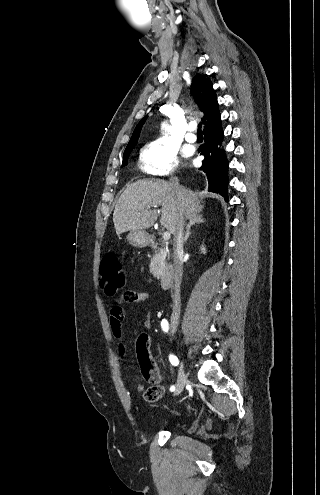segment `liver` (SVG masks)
<instances>
[{
  "label": "liver",
  "instance_id": "liver-1",
  "mask_svg": "<svg viewBox=\"0 0 320 495\" xmlns=\"http://www.w3.org/2000/svg\"><path fill=\"white\" fill-rule=\"evenodd\" d=\"M157 206H161L160 224L172 234L176 230L180 211L189 218L203 209L198 196L189 189L180 187L177 192L170 182L138 180L127 185L116 203L113 212L116 234L119 236L127 231L153 226L158 217Z\"/></svg>",
  "mask_w": 320,
  "mask_h": 495
}]
</instances>
